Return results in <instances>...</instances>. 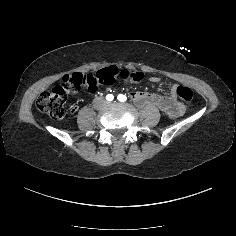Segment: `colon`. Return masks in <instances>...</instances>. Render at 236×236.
<instances>
[{"label": "colon", "instance_id": "1", "mask_svg": "<svg viewBox=\"0 0 236 236\" xmlns=\"http://www.w3.org/2000/svg\"><path fill=\"white\" fill-rule=\"evenodd\" d=\"M118 79L127 83H139L143 79V74L139 71L110 66L96 73L67 75L51 91L43 92L38 96L37 108L53 119H61L65 115V104L70 94L80 90L96 92L102 87L114 84ZM175 92L184 102L191 101L193 97V91L186 86H178Z\"/></svg>", "mask_w": 236, "mask_h": 236}]
</instances>
